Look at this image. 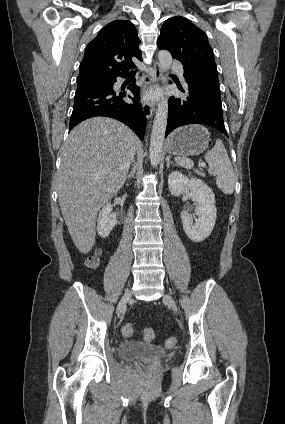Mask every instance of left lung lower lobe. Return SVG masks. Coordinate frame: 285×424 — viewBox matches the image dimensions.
I'll use <instances>...</instances> for the list:
<instances>
[{
  "label": "left lung lower lobe",
  "instance_id": "1",
  "mask_svg": "<svg viewBox=\"0 0 285 424\" xmlns=\"http://www.w3.org/2000/svg\"><path fill=\"white\" fill-rule=\"evenodd\" d=\"M185 79L189 86L188 96H172L169 99L165 137L175 128L188 124L210 125L228 137L223 121L218 73L202 70L186 75Z\"/></svg>",
  "mask_w": 285,
  "mask_h": 424
}]
</instances>
